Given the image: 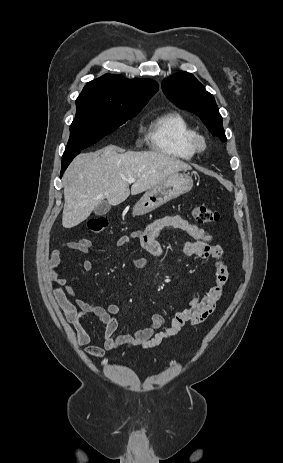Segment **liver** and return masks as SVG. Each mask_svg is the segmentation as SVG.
Segmentation results:
<instances>
[{"instance_id": "obj_1", "label": "liver", "mask_w": 283, "mask_h": 463, "mask_svg": "<svg viewBox=\"0 0 283 463\" xmlns=\"http://www.w3.org/2000/svg\"><path fill=\"white\" fill-rule=\"evenodd\" d=\"M109 145L79 154L64 174V209L62 225L72 228L86 220L104 199L119 205L130 193L149 190L169 176L190 170L187 163L158 152L118 153ZM135 178L129 189L128 178Z\"/></svg>"}]
</instances>
